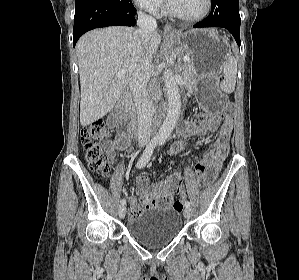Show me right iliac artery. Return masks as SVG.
<instances>
[{
  "label": "right iliac artery",
  "instance_id": "obj_1",
  "mask_svg": "<svg viewBox=\"0 0 299 280\" xmlns=\"http://www.w3.org/2000/svg\"><path fill=\"white\" fill-rule=\"evenodd\" d=\"M158 144V139H152L146 146L145 151L143 153V155L140 157V159L138 160L136 167L141 169L143 168L150 160L154 148L155 146ZM121 204L125 205L126 204V200L122 199L121 200Z\"/></svg>",
  "mask_w": 299,
  "mask_h": 280
}]
</instances>
